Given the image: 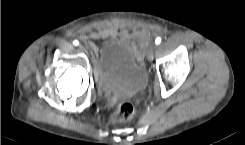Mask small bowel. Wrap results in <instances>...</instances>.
I'll list each match as a JSON object with an SVG mask.
<instances>
[{"mask_svg":"<svg viewBox=\"0 0 245 145\" xmlns=\"http://www.w3.org/2000/svg\"><path fill=\"white\" fill-rule=\"evenodd\" d=\"M113 31L110 29H106V28H99L92 36L93 39H101L104 38L106 36H108L109 34H111ZM133 36H140L143 38H146L148 36V31L147 30H141L135 33H132Z\"/></svg>","mask_w":245,"mask_h":145,"instance_id":"c3829d8e","label":"small bowel"}]
</instances>
